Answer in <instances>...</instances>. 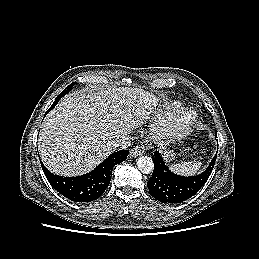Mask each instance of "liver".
<instances>
[{
	"mask_svg": "<svg viewBox=\"0 0 259 259\" xmlns=\"http://www.w3.org/2000/svg\"><path fill=\"white\" fill-rule=\"evenodd\" d=\"M158 99L139 88L74 91L44 119L38 149L54 174L77 176L94 169L127 136L157 113Z\"/></svg>",
	"mask_w": 259,
	"mask_h": 259,
	"instance_id": "1",
	"label": "liver"
}]
</instances>
